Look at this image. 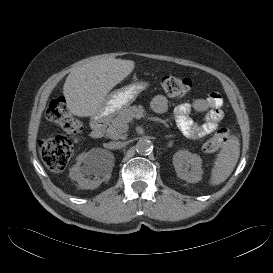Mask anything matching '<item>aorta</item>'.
I'll return each mask as SVG.
<instances>
[{"instance_id": "1", "label": "aorta", "mask_w": 273, "mask_h": 273, "mask_svg": "<svg viewBox=\"0 0 273 273\" xmlns=\"http://www.w3.org/2000/svg\"><path fill=\"white\" fill-rule=\"evenodd\" d=\"M153 143L148 139H142L136 144V151L140 155H149L153 151Z\"/></svg>"}]
</instances>
